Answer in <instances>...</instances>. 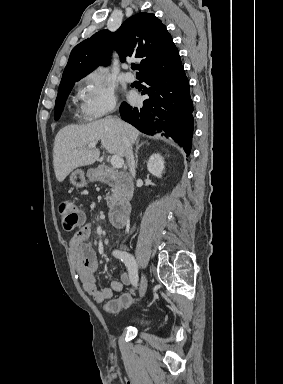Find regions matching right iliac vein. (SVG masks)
I'll list each match as a JSON object with an SVG mask.
<instances>
[{
    "label": "right iliac vein",
    "instance_id": "right-iliac-vein-1",
    "mask_svg": "<svg viewBox=\"0 0 283 384\" xmlns=\"http://www.w3.org/2000/svg\"><path fill=\"white\" fill-rule=\"evenodd\" d=\"M146 290H147V278L144 274H142L141 275L140 290H139L141 298L145 295Z\"/></svg>",
    "mask_w": 283,
    "mask_h": 384
}]
</instances>
